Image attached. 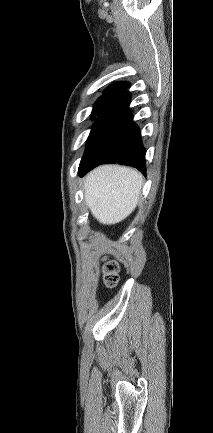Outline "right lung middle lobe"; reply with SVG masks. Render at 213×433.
<instances>
[{"instance_id": "right-lung-middle-lobe-1", "label": "right lung middle lobe", "mask_w": 213, "mask_h": 433, "mask_svg": "<svg viewBox=\"0 0 213 433\" xmlns=\"http://www.w3.org/2000/svg\"><path fill=\"white\" fill-rule=\"evenodd\" d=\"M114 96H101L94 106L92 118L95 119L101 111L114 99Z\"/></svg>"}]
</instances>
